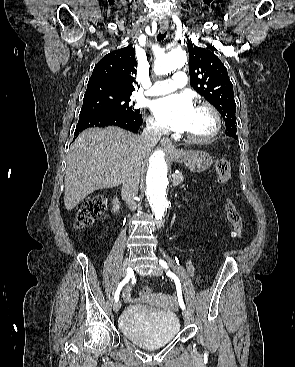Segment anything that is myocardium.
Segmentation results:
<instances>
[{
  "mask_svg": "<svg viewBox=\"0 0 295 367\" xmlns=\"http://www.w3.org/2000/svg\"><path fill=\"white\" fill-rule=\"evenodd\" d=\"M196 109L206 110L211 115L213 119V128L207 135H204V136H193L187 133H185L184 136L188 141L192 143H196V144L209 143L212 140H214L221 131L222 122H221L220 114L214 106H212L211 104L207 102L199 103L196 106Z\"/></svg>",
  "mask_w": 295,
  "mask_h": 367,
  "instance_id": "myocardium-1",
  "label": "myocardium"
}]
</instances>
